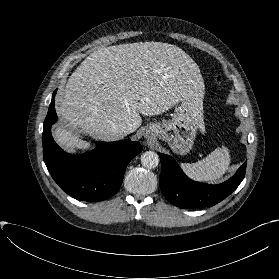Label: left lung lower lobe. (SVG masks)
<instances>
[{
  "instance_id": "left-lung-lower-lobe-1",
  "label": "left lung lower lobe",
  "mask_w": 279,
  "mask_h": 279,
  "mask_svg": "<svg viewBox=\"0 0 279 279\" xmlns=\"http://www.w3.org/2000/svg\"><path fill=\"white\" fill-rule=\"evenodd\" d=\"M162 165L159 185L164 197L173 205L184 209L211 207L225 199L241 183L245 176L246 162L227 181L210 185L188 178L176 161L159 153Z\"/></svg>"
}]
</instances>
